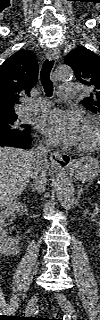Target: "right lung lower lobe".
Here are the masks:
<instances>
[{"label": "right lung lower lobe", "mask_w": 100, "mask_h": 320, "mask_svg": "<svg viewBox=\"0 0 100 320\" xmlns=\"http://www.w3.org/2000/svg\"><path fill=\"white\" fill-rule=\"evenodd\" d=\"M32 143L30 132L24 135H8L4 134L0 136L1 146H12L19 148H28Z\"/></svg>", "instance_id": "1"}]
</instances>
